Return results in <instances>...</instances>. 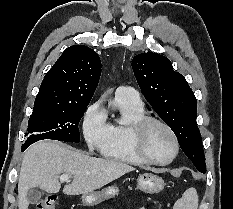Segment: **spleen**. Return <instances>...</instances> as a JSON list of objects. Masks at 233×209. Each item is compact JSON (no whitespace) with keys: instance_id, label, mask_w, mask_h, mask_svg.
<instances>
[{"instance_id":"spleen-1","label":"spleen","mask_w":233,"mask_h":209,"mask_svg":"<svg viewBox=\"0 0 233 209\" xmlns=\"http://www.w3.org/2000/svg\"><path fill=\"white\" fill-rule=\"evenodd\" d=\"M174 209H198V194L195 188L187 189L182 198L174 205Z\"/></svg>"}]
</instances>
